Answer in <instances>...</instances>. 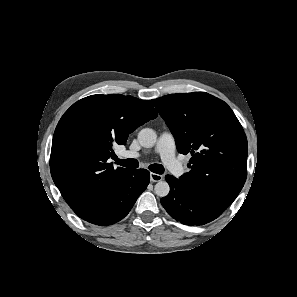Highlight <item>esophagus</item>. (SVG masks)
Returning <instances> with one entry per match:
<instances>
[{
	"label": "esophagus",
	"mask_w": 297,
	"mask_h": 297,
	"mask_svg": "<svg viewBox=\"0 0 297 297\" xmlns=\"http://www.w3.org/2000/svg\"><path fill=\"white\" fill-rule=\"evenodd\" d=\"M163 179L162 175L156 174V173H150V180L152 182H159Z\"/></svg>",
	"instance_id": "obj_1"
}]
</instances>
